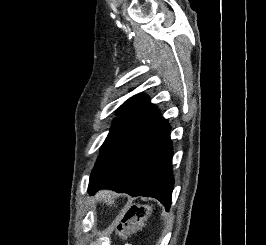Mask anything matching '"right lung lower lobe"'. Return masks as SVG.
<instances>
[{"label":"right lung lower lobe","mask_w":266,"mask_h":245,"mask_svg":"<svg viewBox=\"0 0 266 245\" xmlns=\"http://www.w3.org/2000/svg\"><path fill=\"white\" fill-rule=\"evenodd\" d=\"M170 130L164 118L145 123L95 165L89 194L109 188L131 196L156 198L169 210L174 182Z\"/></svg>","instance_id":"98d812e1"}]
</instances>
